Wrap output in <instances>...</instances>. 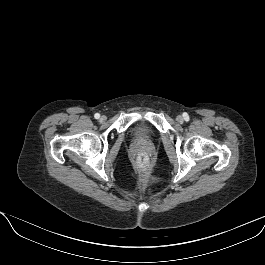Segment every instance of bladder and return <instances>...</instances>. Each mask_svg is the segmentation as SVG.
I'll return each mask as SVG.
<instances>
[{
    "label": "bladder",
    "mask_w": 265,
    "mask_h": 265,
    "mask_svg": "<svg viewBox=\"0 0 265 265\" xmlns=\"http://www.w3.org/2000/svg\"><path fill=\"white\" fill-rule=\"evenodd\" d=\"M131 136L141 142L152 141L155 138V131L147 123H140L134 126L131 131Z\"/></svg>",
    "instance_id": "bladder-1"
}]
</instances>
